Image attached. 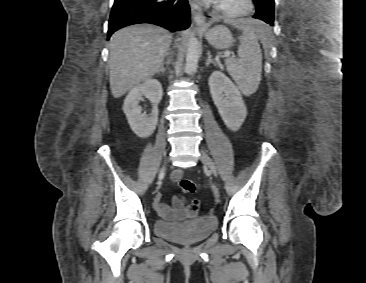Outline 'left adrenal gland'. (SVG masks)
<instances>
[{
    "instance_id": "left-adrenal-gland-1",
    "label": "left adrenal gland",
    "mask_w": 366,
    "mask_h": 283,
    "mask_svg": "<svg viewBox=\"0 0 366 283\" xmlns=\"http://www.w3.org/2000/svg\"><path fill=\"white\" fill-rule=\"evenodd\" d=\"M208 58L206 61V67H209L210 64H214L216 66V63L213 61L210 51L207 53Z\"/></svg>"
}]
</instances>
